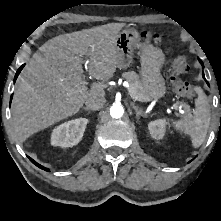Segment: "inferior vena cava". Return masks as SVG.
<instances>
[{"instance_id": "obj_1", "label": "inferior vena cava", "mask_w": 221, "mask_h": 221, "mask_svg": "<svg viewBox=\"0 0 221 221\" xmlns=\"http://www.w3.org/2000/svg\"><path fill=\"white\" fill-rule=\"evenodd\" d=\"M105 103L106 99L104 96H92L89 97L85 102L86 107L93 111L101 109Z\"/></svg>"}]
</instances>
